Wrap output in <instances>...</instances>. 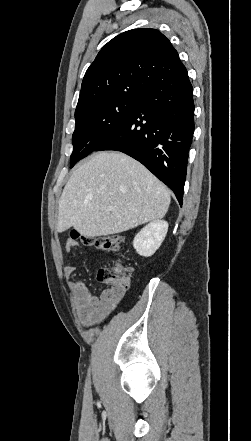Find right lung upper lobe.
Instances as JSON below:
<instances>
[{
    "mask_svg": "<svg viewBox=\"0 0 251 441\" xmlns=\"http://www.w3.org/2000/svg\"><path fill=\"white\" fill-rule=\"evenodd\" d=\"M185 66L170 41L156 29H133L109 41L83 78L76 107L105 98L142 95L152 85Z\"/></svg>",
    "mask_w": 251,
    "mask_h": 441,
    "instance_id": "right-lung-upper-lobe-1",
    "label": "right lung upper lobe"
}]
</instances>
